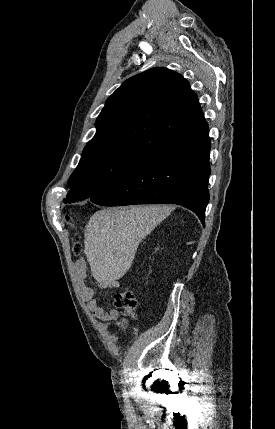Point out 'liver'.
<instances>
[{
    "label": "liver",
    "instance_id": "1",
    "mask_svg": "<svg viewBox=\"0 0 275 429\" xmlns=\"http://www.w3.org/2000/svg\"><path fill=\"white\" fill-rule=\"evenodd\" d=\"M163 205L107 208L94 213L85 229L84 252L95 280L106 287L131 267L140 241L169 213Z\"/></svg>",
    "mask_w": 275,
    "mask_h": 429
}]
</instances>
